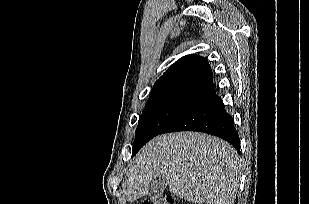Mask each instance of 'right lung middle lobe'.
I'll return each mask as SVG.
<instances>
[{
    "label": "right lung middle lobe",
    "instance_id": "dd1d6c3e",
    "mask_svg": "<svg viewBox=\"0 0 309 204\" xmlns=\"http://www.w3.org/2000/svg\"><path fill=\"white\" fill-rule=\"evenodd\" d=\"M195 106L196 104L192 102L177 101L146 104L135 132L132 156L149 140L159 135L167 126Z\"/></svg>",
    "mask_w": 309,
    "mask_h": 204
}]
</instances>
